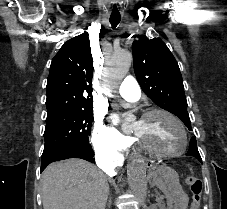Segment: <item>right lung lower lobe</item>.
Here are the masks:
<instances>
[{
  "mask_svg": "<svg viewBox=\"0 0 227 209\" xmlns=\"http://www.w3.org/2000/svg\"><path fill=\"white\" fill-rule=\"evenodd\" d=\"M94 152L91 145H77L68 146L60 149L53 150L46 153L42 157L41 172L52 162L68 159V158H81L90 162L95 161L93 158Z\"/></svg>",
  "mask_w": 227,
  "mask_h": 209,
  "instance_id": "98d812e1",
  "label": "right lung lower lobe"
}]
</instances>
